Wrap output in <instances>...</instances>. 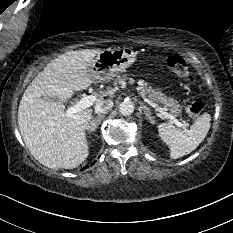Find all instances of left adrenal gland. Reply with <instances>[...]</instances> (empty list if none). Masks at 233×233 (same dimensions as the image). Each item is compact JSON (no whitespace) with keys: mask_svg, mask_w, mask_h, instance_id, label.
<instances>
[{"mask_svg":"<svg viewBox=\"0 0 233 233\" xmlns=\"http://www.w3.org/2000/svg\"><path fill=\"white\" fill-rule=\"evenodd\" d=\"M140 109L143 110L146 118L150 121V123H153L154 120L151 117V111H150V109L146 105H144L143 103H140Z\"/></svg>","mask_w":233,"mask_h":233,"instance_id":"left-adrenal-gland-1","label":"left adrenal gland"}]
</instances>
